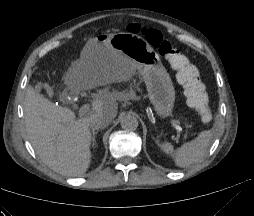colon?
<instances>
[{"mask_svg": "<svg viewBox=\"0 0 254 216\" xmlns=\"http://www.w3.org/2000/svg\"><path fill=\"white\" fill-rule=\"evenodd\" d=\"M129 30L135 34L141 33L146 41L168 60L170 67L177 72L178 81L184 87L188 104L196 111L201 122H210L212 113L207 94L196 69L190 65L188 59L157 29L130 25Z\"/></svg>", "mask_w": 254, "mask_h": 216, "instance_id": "colon-1", "label": "colon"}]
</instances>
